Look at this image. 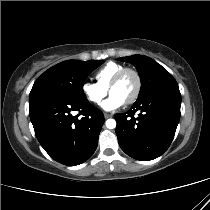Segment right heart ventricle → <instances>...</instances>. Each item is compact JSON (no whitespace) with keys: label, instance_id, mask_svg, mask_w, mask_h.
<instances>
[{"label":"right heart ventricle","instance_id":"1","mask_svg":"<svg viewBox=\"0 0 210 210\" xmlns=\"http://www.w3.org/2000/svg\"><path fill=\"white\" fill-rule=\"evenodd\" d=\"M123 68H125L124 65L112 61L104 64L95 73L97 84L104 89H108L114 76Z\"/></svg>","mask_w":210,"mask_h":210}]
</instances>
